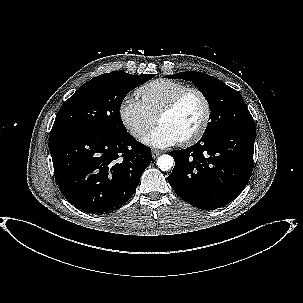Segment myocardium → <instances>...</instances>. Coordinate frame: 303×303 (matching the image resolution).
<instances>
[{
	"mask_svg": "<svg viewBox=\"0 0 303 303\" xmlns=\"http://www.w3.org/2000/svg\"><path fill=\"white\" fill-rule=\"evenodd\" d=\"M191 93H195L201 98V100L203 102V106H204V112H203V117H202L201 123L198 126V128L192 134H190L189 136H187L179 141L183 145H189V144H193V143L197 142L204 135V133L206 132V130L208 128V125H209L210 119H211V105H210V102H209L206 94L198 88L188 87V88L182 90L181 92H179L178 94H176L160 110V112L156 116V122L159 123L161 118L172 113L178 107V105L181 103V101L187 95H189Z\"/></svg>",
	"mask_w": 303,
	"mask_h": 303,
	"instance_id": "obj_1",
	"label": "myocardium"
}]
</instances>
